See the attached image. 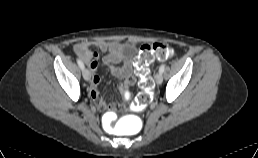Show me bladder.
Wrapping results in <instances>:
<instances>
[{
    "instance_id": "obj_1",
    "label": "bladder",
    "mask_w": 258,
    "mask_h": 158,
    "mask_svg": "<svg viewBox=\"0 0 258 158\" xmlns=\"http://www.w3.org/2000/svg\"><path fill=\"white\" fill-rule=\"evenodd\" d=\"M134 54V47L133 46H130L128 45L124 52H123V57L126 59V60H130V58L133 56Z\"/></svg>"
}]
</instances>
